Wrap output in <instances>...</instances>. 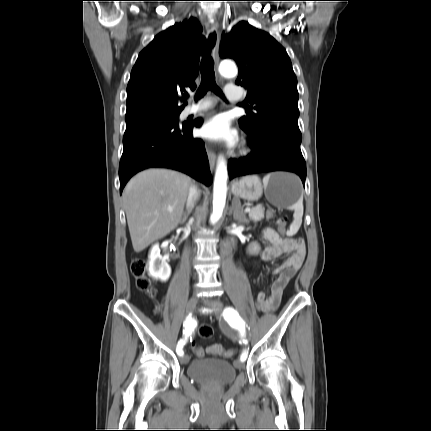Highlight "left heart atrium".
Masks as SVG:
<instances>
[{
  "label": "left heart atrium",
  "mask_w": 431,
  "mask_h": 431,
  "mask_svg": "<svg viewBox=\"0 0 431 431\" xmlns=\"http://www.w3.org/2000/svg\"><path fill=\"white\" fill-rule=\"evenodd\" d=\"M202 136L211 140H225L229 145H234L237 142V133L231 130L225 119L216 116L209 119L201 129Z\"/></svg>",
  "instance_id": "left-heart-atrium-1"
}]
</instances>
